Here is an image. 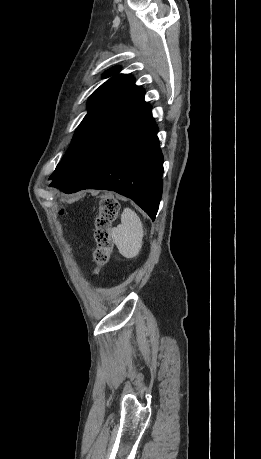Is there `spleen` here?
<instances>
[{
  "mask_svg": "<svg viewBox=\"0 0 261 459\" xmlns=\"http://www.w3.org/2000/svg\"><path fill=\"white\" fill-rule=\"evenodd\" d=\"M111 235L123 257L131 259L138 256L142 248L144 230L135 211L125 208L121 215V224L112 229Z\"/></svg>",
  "mask_w": 261,
  "mask_h": 459,
  "instance_id": "3e777b00",
  "label": "spleen"
}]
</instances>
